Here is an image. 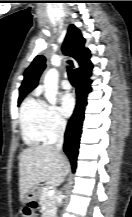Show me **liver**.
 <instances>
[{
    "instance_id": "6515ba94",
    "label": "liver",
    "mask_w": 132,
    "mask_h": 217,
    "mask_svg": "<svg viewBox=\"0 0 132 217\" xmlns=\"http://www.w3.org/2000/svg\"><path fill=\"white\" fill-rule=\"evenodd\" d=\"M70 171L68 160L55 146L38 145L23 150L19 157L20 200L29 190L42 182L60 185Z\"/></svg>"
}]
</instances>
